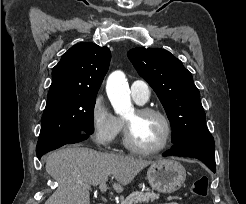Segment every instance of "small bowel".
<instances>
[{
    "label": "small bowel",
    "instance_id": "obj_1",
    "mask_svg": "<svg viewBox=\"0 0 246 204\" xmlns=\"http://www.w3.org/2000/svg\"><path fill=\"white\" fill-rule=\"evenodd\" d=\"M165 204H179V203H176V202H170V203H165Z\"/></svg>",
    "mask_w": 246,
    "mask_h": 204
}]
</instances>
